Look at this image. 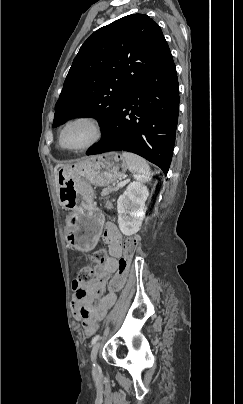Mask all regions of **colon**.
<instances>
[{"label":"colon","instance_id":"5ec220e1","mask_svg":"<svg viewBox=\"0 0 243 404\" xmlns=\"http://www.w3.org/2000/svg\"><path fill=\"white\" fill-rule=\"evenodd\" d=\"M139 239L137 237H130L125 240L122 246V255L118 261V270L115 273L114 278L110 283V289L120 290L126 284L128 279V272L134 257V254L138 248ZM105 258V252L100 250L93 254L92 259L95 262H103ZM96 276L95 269L90 265H85L81 269L78 281L81 283H88L92 281Z\"/></svg>","mask_w":243,"mask_h":404}]
</instances>
